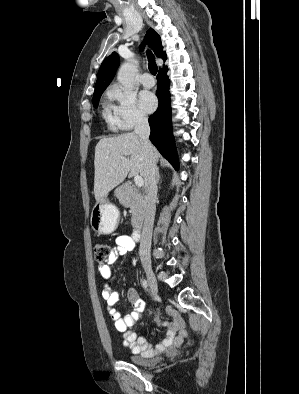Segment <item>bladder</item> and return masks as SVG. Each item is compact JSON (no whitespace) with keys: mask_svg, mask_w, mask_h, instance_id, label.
Returning a JSON list of instances; mask_svg holds the SVG:
<instances>
[{"mask_svg":"<svg viewBox=\"0 0 299 394\" xmlns=\"http://www.w3.org/2000/svg\"><path fill=\"white\" fill-rule=\"evenodd\" d=\"M128 359L134 365L141 366V367H149V366H153L157 363V360L144 357L140 354H130L128 356Z\"/></svg>","mask_w":299,"mask_h":394,"instance_id":"31cf9c89","label":"bladder"}]
</instances>
